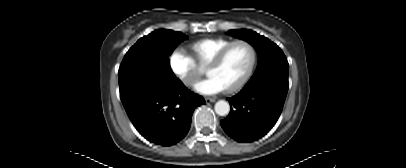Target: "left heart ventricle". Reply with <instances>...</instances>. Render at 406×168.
<instances>
[{
    "label": "left heart ventricle",
    "mask_w": 406,
    "mask_h": 168,
    "mask_svg": "<svg viewBox=\"0 0 406 168\" xmlns=\"http://www.w3.org/2000/svg\"><path fill=\"white\" fill-rule=\"evenodd\" d=\"M250 61V48L246 44H237L227 52L217 67L209 69L207 73L216 78L226 89L242 78Z\"/></svg>",
    "instance_id": "b2bd125f"
}]
</instances>
